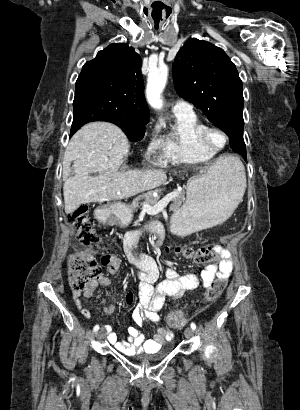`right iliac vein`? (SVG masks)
<instances>
[{"mask_svg": "<svg viewBox=\"0 0 300 410\" xmlns=\"http://www.w3.org/2000/svg\"><path fill=\"white\" fill-rule=\"evenodd\" d=\"M103 336H104V330H103V329L99 330V331L96 333V338H97V339H102Z\"/></svg>", "mask_w": 300, "mask_h": 410, "instance_id": "right-iliac-vein-1", "label": "right iliac vein"}]
</instances>
